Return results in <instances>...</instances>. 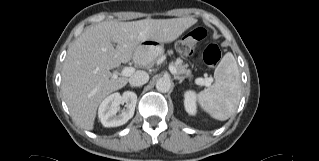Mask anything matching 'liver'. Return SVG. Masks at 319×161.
<instances>
[{"label":"liver","instance_id":"6515ba94","mask_svg":"<svg viewBox=\"0 0 319 161\" xmlns=\"http://www.w3.org/2000/svg\"><path fill=\"white\" fill-rule=\"evenodd\" d=\"M196 22L192 17L104 21L86 28L69 47L62 69L61 89L74 121L83 129H93L101 101L128 82L109 70L134 59L141 42H172Z\"/></svg>","mask_w":319,"mask_h":161}]
</instances>
